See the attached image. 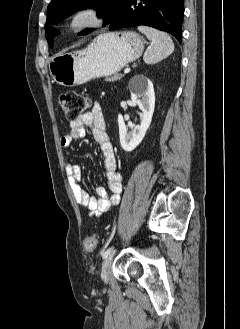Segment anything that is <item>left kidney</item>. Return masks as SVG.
<instances>
[{"label":"left kidney","mask_w":240,"mask_h":329,"mask_svg":"<svg viewBox=\"0 0 240 329\" xmlns=\"http://www.w3.org/2000/svg\"><path fill=\"white\" fill-rule=\"evenodd\" d=\"M131 100L143 113L140 125L130 128L126 126L123 116L118 115L120 145L124 151L134 150L143 140L151 124L155 108V92L153 83L144 75H135L130 83Z\"/></svg>","instance_id":"left-kidney-1"}]
</instances>
